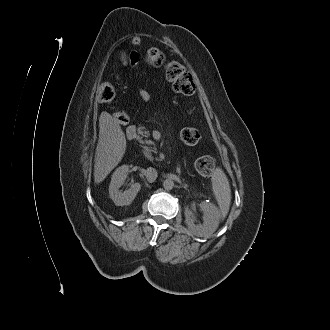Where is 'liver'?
<instances>
[{
	"instance_id": "liver-1",
	"label": "liver",
	"mask_w": 330,
	"mask_h": 330,
	"mask_svg": "<svg viewBox=\"0 0 330 330\" xmlns=\"http://www.w3.org/2000/svg\"><path fill=\"white\" fill-rule=\"evenodd\" d=\"M99 139L94 159V182H102L118 165L126 150V138L119 123L108 113L99 118Z\"/></svg>"
}]
</instances>
